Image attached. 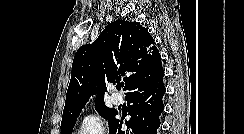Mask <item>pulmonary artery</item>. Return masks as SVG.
Wrapping results in <instances>:
<instances>
[{
  "label": "pulmonary artery",
  "instance_id": "e3ab8cb5",
  "mask_svg": "<svg viewBox=\"0 0 244 134\" xmlns=\"http://www.w3.org/2000/svg\"><path fill=\"white\" fill-rule=\"evenodd\" d=\"M111 99H112V102L114 104H116V105L121 104L122 101H123L122 97L120 95H118V94H113L112 97H111Z\"/></svg>",
  "mask_w": 244,
  "mask_h": 134
}]
</instances>
